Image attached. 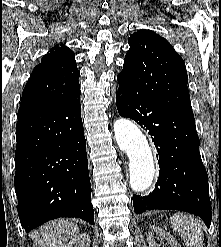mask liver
I'll use <instances>...</instances> for the list:
<instances>
[{
    "label": "liver",
    "instance_id": "liver-1",
    "mask_svg": "<svg viewBox=\"0 0 221 247\" xmlns=\"http://www.w3.org/2000/svg\"><path fill=\"white\" fill-rule=\"evenodd\" d=\"M78 232L79 227L72 220L50 221L32 235L34 247H63Z\"/></svg>",
    "mask_w": 221,
    "mask_h": 247
}]
</instances>
